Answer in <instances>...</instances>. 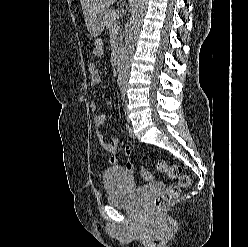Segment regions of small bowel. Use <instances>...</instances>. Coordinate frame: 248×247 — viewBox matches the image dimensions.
Returning a JSON list of instances; mask_svg holds the SVG:
<instances>
[{"mask_svg": "<svg viewBox=\"0 0 248 247\" xmlns=\"http://www.w3.org/2000/svg\"><path fill=\"white\" fill-rule=\"evenodd\" d=\"M103 49H104L103 42L101 40L97 41L95 44V47L92 51L93 61H91L89 64L90 84L92 86H97L101 82V76L99 74L98 66L94 60L103 55ZM90 109L92 112H96L98 109V104L96 102H91ZM105 121H106V115L105 114H98L94 117V124H95L96 128L98 129L97 135H98L99 139L102 141L103 148L111 156L110 157L111 164H116L117 159L115 158V155H116L117 150H118L119 140L117 137L113 136V137H111L110 143H106L103 141V135H102L101 131L99 130V128L105 123ZM124 154H125V158H126V163L124 164V166L122 168H124L127 172H129L133 177L134 167H133V164L131 162V154H132L131 148L126 147L124 149Z\"/></svg>", "mask_w": 248, "mask_h": 247, "instance_id": "small-bowel-1", "label": "small bowel"}]
</instances>
